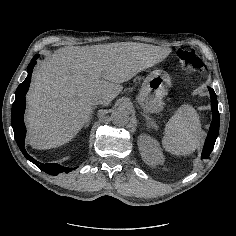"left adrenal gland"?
Returning <instances> with one entry per match:
<instances>
[{
    "mask_svg": "<svg viewBox=\"0 0 236 236\" xmlns=\"http://www.w3.org/2000/svg\"><path fill=\"white\" fill-rule=\"evenodd\" d=\"M142 115L146 118L148 126H152L155 124L154 121L151 118H149L147 115L145 114H142Z\"/></svg>",
    "mask_w": 236,
    "mask_h": 236,
    "instance_id": "a2214340",
    "label": "left adrenal gland"
}]
</instances>
